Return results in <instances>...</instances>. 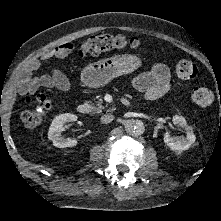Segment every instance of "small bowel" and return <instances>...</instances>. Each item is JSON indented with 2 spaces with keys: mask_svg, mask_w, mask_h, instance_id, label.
I'll return each instance as SVG.
<instances>
[{
  "mask_svg": "<svg viewBox=\"0 0 221 221\" xmlns=\"http://www.w3.org/2000/svg\"><path fill=\"white\" fill-rule=\"evenodd\" d=\"M74 49L70 43L59 45L42 53L31 60L22 70L19 78V91L22 94H34L41 87L68 91L71 88L69 78L58 70L50 74L34 77V73L40 68L43 61L61 58L69 55ZM132 83L136 89L144 94L147 100H156L172 88V81L168 67L163 63H156L143 74L133 78Z\"/></svg>",
  "mask_w": 221,
  "mask_h": 221,
  "instance_id": "c3829d8e",
  "label": "small bowel"
}]
</instances>
